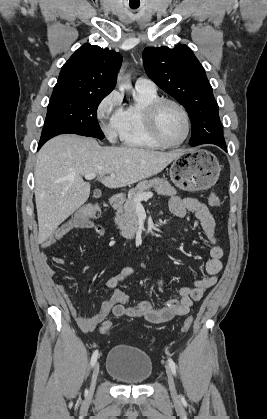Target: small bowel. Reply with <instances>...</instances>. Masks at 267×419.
I'll use <instances>...</instances> for the list:
<instances>
[{"instance_id":"small-bowel-1","label":"small bowel","mask_w":267,"mask_h":419,"mask_svg":"<svg viewBox=\"0 0 267 419\" xmlns=\"http://www.w3.org/2000/svg\"><path fill=\"white\" fill-rule=\"evenodd\" d=\"M169 209L178 218H183L188 212H192L200 222L202 230L208 242L211 244L209 251L210 258L205 265V272L208 276L195 280L192 287L179 288L177 290V297L169 299L159 308H154L147 300H143L135 305H126L128 296L119 289V285L134 273V269L130 266H125L106 281V286L113 290V293L102 303L97 314L92 317L81 316L70 298L66 286L61 283L56 284L55 289L62 296L70 313L83 332L88 333L95 330L110 314L117 317L142 318L155 324L170 321L178 316L188 314L193 302L201 300L204 292L217 283V275L223 268V249L217 244L215 220L208 207L194 198L172 197L169 201ZM74 229H86L101 237L106 235V229L103 226L97 225L90 220L76 222L70 219L62 223L52 232L43 243V248L49 247L56 241L61 240L67 233ZM53 260L58 264L64 263V260L58 256L53 257ZM40 262L45 272L51 277L54 276L55 272L50 267L48 256L45 253L40 255ZM157 285L160 291L164 290L162 279H158Z\"/></svg>"}]
</instances>
